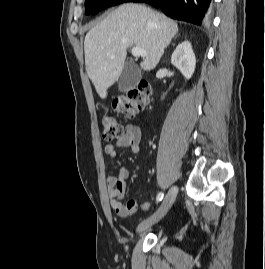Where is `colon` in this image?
<instances>
[{
    "instance_id": "obj_1",
    "label": "colon",
    "mask_w": 265,
    "mask_h": 269,
    "mask_svg": "<svg viewBox=\"0 0 265 269\" xmlns=\"http://www.w3.org/2000/svg\"><path fill=\"white\" fill-rule=\"evenodd\" d=\"M150 94L149 84L142 81L126 94L117 97L113 102V108L125 117H134L147 105ZM123 132V127L112 115H105L102 118V137L105 141L119 138Z\"/></svg>"
}]
</instances>
